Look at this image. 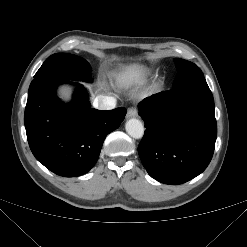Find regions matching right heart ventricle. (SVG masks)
I'll return each instance as SVG.
<instances>
[{
	"label": "right heart ventricle",
	"instance_id": "1",
	"mask_svg": "<svg viewBox=\"0 0 247 247\" xmlns=\"http://www.w3.org/2000/svg\"><path fill=\"white\" fill-rule=\"evenodd\" d=\"M134 73L133 69H128L122 76V80H126Z\"/></svg>",
	"mask_w": 247,
	"mask_h": 247
}]
</instances>
